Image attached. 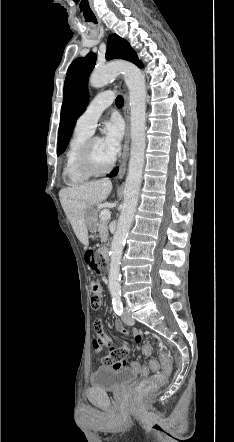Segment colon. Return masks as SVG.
Masks as SVG:
<instances>
[{
    "mask_svg": "<svg viewBox=\"0 0 234 442\" xmlns=\"http://www.w3.org/2000/svg\"><path fill=\"white\" fill-rule=\"evenodd\" d=\"M85 260L92 270L99 274H104L107 270V263L102 259V257L92 249H89L85 253ZM91 307L93 309H99L102 306L103 294L99 289L97 282H92L91 284ZM107 336V335H106ZM97 344V343H96ZM142 353L146 356H151L153 353V346L150 342H145L143 346ZM127 352L125 349H120L113 354L112 365L114 367L125 366V356ZM161 361L163 364V371L161 373L155 374L147 380H139L137 391L139 393H147L153 389H163L166 385V378L171 372V360L167 354L161 352ZM130 371L133 373L138 372L141 375H148L151 372H157L159 370V362L155 359H151L147 364L142 360L134 359L127 363Z\"/></svg>",
    "mask_w": 234,
    "mask_h": 442,
    "instance_id": "1",
    "label": "colon"
}]
</instances>
